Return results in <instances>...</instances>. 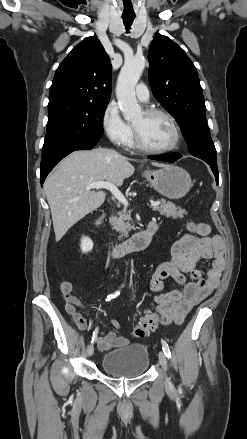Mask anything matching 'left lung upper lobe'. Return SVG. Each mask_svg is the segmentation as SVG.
<instances>
[{
    "mask_svg": "<svg viewBox=\"0 0 247 439\" xmlns=\"http://www.w3.org/2000/svg\"><path fill=\"white\" fill-rule=\"evenodd\" d=\"M148 59L154 97L180 125L191 154L217 170V152L194 64L180 46L161 34L153 38Z\"/></svg>",
    "mask_w": 247,
    "mask_h": 439,
    "instance_id": "obj_1",
    "label": "left lung upper lobe"
}]
</instances>
